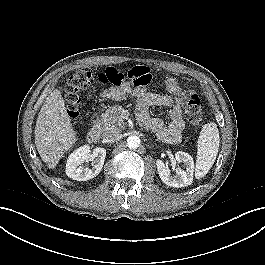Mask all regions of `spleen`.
I'll use <instances>...</instances> for the list:
<instances>
[{
	"label": "spleen",
	"instance_id": "3e777b00",
	"mask_svg": "<svg viewBox=\"0 0 265 265\" xmlns=\"http://www.w3.org/2000/svg\"><path fill=\"white\" fill-rule=\"evenodd\" d=\"M219 131L214 122L205 124L197 145L195 178H203L213 166L219 150Z\"/></svg>",
	"mask_w": 265,
	"mask_h": 265
}]
</instances>
